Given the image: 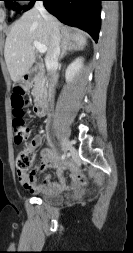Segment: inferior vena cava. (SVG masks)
<instances>
[{
	"instance_id": "inferior-vena-cava-1",
	"label": "inferior vena cava",
	"mask_w": 133,
	"mask_h": 253,
	"mask_svg": "<svg viewBox=\"0 0 133 253\" xmlns=\"http://www.w3.org/2000/svg\"><path fill=\"white\" fill-rule=\"evenodd\" d=\"M35 9L39 11L41 16L46 21L51 37V47L45 58L46 64L51 68L52 71V84L50 87L51 96L52 88L58 78V75L56 73H53V70L58 66V59L60 55V33L53 17L46 11L42 1H36Z\"/></svg>"
}]
</instances>
